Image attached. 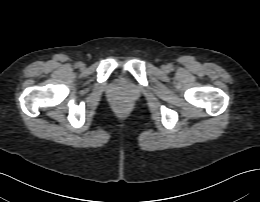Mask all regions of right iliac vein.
Wrapping results in <instances>:
<instances>
[{
	"label": "right iliac vein",
	"instance_id": "right-iliac-vein-1",
	"mask_svg": "<svg viewBox=\"0 0 260 202\" xmlns=\"http://www.w3.org/2000/svg\"><path fill=\"white\" fill-rule=\"evenodd\" d=\"M80 67L83 68V67H84V64H83V63H80Z\"/></svg>",
	"mask_w": 260,
	"mask_h": 202
}]
</instances>
